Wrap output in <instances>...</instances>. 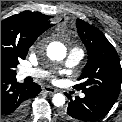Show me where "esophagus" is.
<instances>
[{"instance_id": "34e87169", "label": "esophagus", "mask_w": 122, "mask_h": 122, "mask_svg": "<svg viewBox=\"0 0 122 122\" xmlns=\"http://www.w3.org/2000/svg\"><path fill=\"white\" fill-rule=\"evenodd\" d=\"M43 90L49 94H54L57 92V89L51 87V86H44Z\"/></svg>"}]
</instances>
